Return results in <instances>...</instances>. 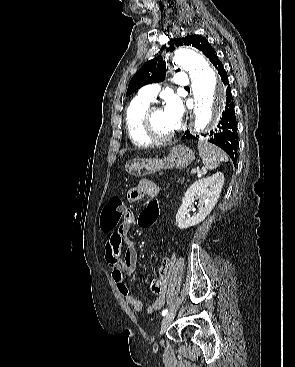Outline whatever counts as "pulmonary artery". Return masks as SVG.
Segmentation results:
<instances>
[{"instance_id": "e3ab8cb5", "label": "pulmonary artery", "mask_w": 295, "mask_h": 367, "mask_svg": "<svg viewBox=\"0 0 295 367\" xmlns=\"http://www.w3.org/2000/svg\"><path fill=\"white\" fill-rule=\"evenodd\" d=\"M174 83L180 87H188L189 86V78L185 72H178L174 75ZM159 91V86L157 84H150L144 86L140 89L138 96L142 99L153 101Z\"/></svg>"}]
</instances>
